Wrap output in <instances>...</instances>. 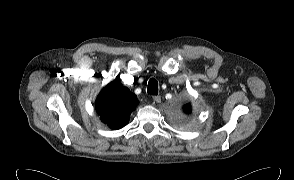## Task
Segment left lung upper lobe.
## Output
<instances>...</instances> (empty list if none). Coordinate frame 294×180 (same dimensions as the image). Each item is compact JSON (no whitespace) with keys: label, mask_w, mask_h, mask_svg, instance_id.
<instances>
[{"label":"left lung upper lobe","mask_w":294,"mask_h":180,"mask_svg":"<svg viewBox=\"0 0 294 180\" xmlns=\"http://www.w3.org/2000/svg\"><path fill=\"white\" fill-rule=\"evenodd\" d=\"M183 112H184L185 114H190V112H191L190 106H189V105H185V106L183 107Z\"/></svg>","instance_id":"left-lung-upper-lobe-1"}]
</instances>
